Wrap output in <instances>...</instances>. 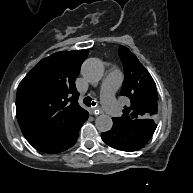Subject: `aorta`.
I'll return each instance as SVG.
<instances>
[{"label": "aorta", "mask_w": 193, "mask_h": 193, "mask_svg": "<svg viewBox=\"0 0 193 193\" xmlns=\"http://www.w3.org/2000/svg\"><path fill=\"white\" fill-rule=\"evenodd\" d=\"M82 74L89 82H98L104 74L103 63L96 58L86 60L82 66ZM95 126L98 131L107 132L113 126L112 118L106 114L99 115L95 119Z\"/></svg>", "instance_id": "762f6f07"}]
</instances>
